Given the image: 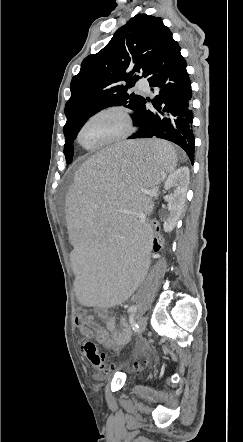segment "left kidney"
I'll return each mask as SVG.
<instances>
[{"label":"left kidney","instance_id":"obj_1","mask_svg":"<svg viewBox=\"0 0 243 442\" xmlns=\"http://www.w3.org/2000/svg\"><path fill=\"white\" fill-rule=\"evenodd\" d=\"M189 176V169L187 167H181L171 173L165 181L166 188L177 186L173 194L165 197V201L168 202L167 209L169 213L164 220L163 228L167 233L174 229L182 213L189 184Z\"/></svg>","mask_w":243,"mask_h":442}]
</instances>
